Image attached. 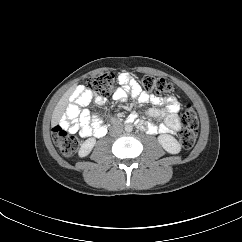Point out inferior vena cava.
I'll return each instance as SVG.
<instances>
[{
  "label": "inferior vena cava",
  "mask_w": 242,
  "mask_h": 242,
  "mask_svg": "<svg viewBox=\"0 0 242 242\" xmlns=\"http://www.w3.org/2000/svg\"><path fill=\"white\" fill-rule=\"evenodd\" d=\"M123 132V128L121 126H113L111 128V135H119Z\"/></svg>",
  "instance_id": "1"
}]
</instances>
